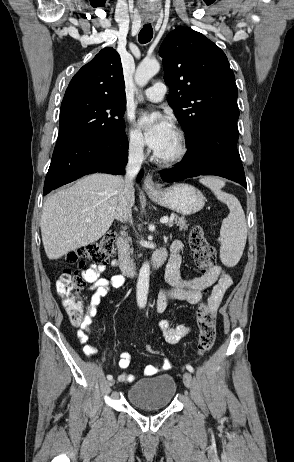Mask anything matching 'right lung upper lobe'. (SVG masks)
<instances>
[{"mask_svg": "<svg viewBox=\"0 0 294 462\" xmlns=\"http://www.w3.org/2000/svg\"><path fill=\"white\" fill-rule=\"evenodd\" d=\"M77 97L126 99L121 60L115 49H102L74 75L63 101Z\"/></svg>", "mask_w": 294, "mask_h": 462, "instance_id": "right-lung-upper-lobe-1", "label": "right lung upper lobe"}]
</instances>
